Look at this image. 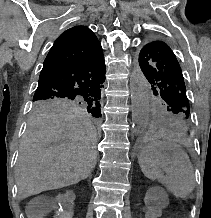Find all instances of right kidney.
<instances>
[{"label":"right kidney","mask_w":211,"mask_h":218,"mask_svg":"<svg viewBox=\"0 0 211 218\" xmlns=\"http://www.w3.org/2000/svg\"><path fill=\"white\" fill-rule=\"evenodd\" d=\"M52 202H55L53 211L60 214L53 215V218H71V214H74V209H64V206H73V202H76V197L72 192L58 193V197H52Z\"/></svg>","instance_id":"obj_1"}]
</instances>
